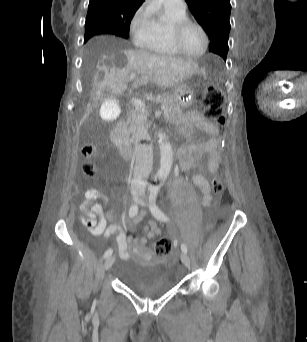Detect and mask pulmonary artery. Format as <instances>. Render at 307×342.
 Wrapping results in <instances>:
<instances>
[{"instance_id": "1", "label": "pulmonary artery", "mask_w": 307, "mask_h": 342, "mask_svg": "<svg viewBox=\"0 0 307 342\" xmlns=\"http://www.w3.org/2000/svg\"><path fill=\"white\" fill-rule=\"evenodd\" d=\"M166 11L184 12L187 9L186 1H160Z\"/></svg>"}]
</instances>
